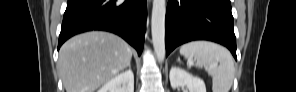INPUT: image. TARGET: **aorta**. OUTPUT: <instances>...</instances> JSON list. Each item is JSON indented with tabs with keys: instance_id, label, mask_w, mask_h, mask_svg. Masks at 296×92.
<instances>
[{
	"instance_id": "1",
	"label": "aorta",
	"mask_w": 296,
	"mask_h": 92,
	"mask_svg": "<svg viewBox=\"0 0 296 92\" xmlns=\"http://www.w3.org/2000/svg\"><path fill=\"white\" fill-rule=\"evenodd\" d=\"M165 0H153L151 32L154 51L159 62L165 58Z\"/></svg>"
}]
</instances>
